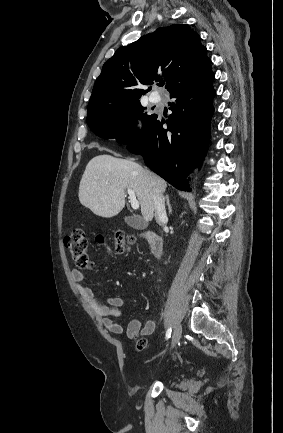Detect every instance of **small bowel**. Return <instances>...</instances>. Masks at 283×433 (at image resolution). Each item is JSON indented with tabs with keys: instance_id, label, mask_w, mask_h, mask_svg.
I'll return each mask as SVG.
<instances>
[{
	"instance_id": "c3829d8e",
	"label": "small bowel",
	"mask_w": 283,
	"mask_h": 433,
	"mask_svg": "<svg viewBox=\"0 0 283 433\" xmlns=\"http://www.w3.org/2000/svg\"><path fill=\"white\" fill-rule=\"evenodd\" d=\"M72 277L80 296L102 318L103 324L107 330L115 334L125 332L129 338H133L138 334L146 337L154 332L156 323L153 318H148L144 323L139 319H132L124 330L123 327L117 323L116 319L123 315L122 306L125 303V299L119 296L109 297L106 303H102L95 297L91 288L84 284L86 275L83 271L78 269L73 270Z\"/></svg>"
}]
</instances>
